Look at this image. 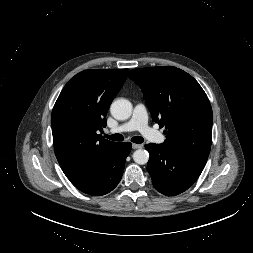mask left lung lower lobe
I'll use <instances>...</instances> for the list:
<instances>
[{
  "instance_id": "0a47b994",
  "label": "left lung lower lobe",
  "mask_w": 253,
  "mask_h": 253,
  "mask_svg": "<svg viewBox=\"0 0 253 253\" xmlns=\"http://www.w3.org/2000/svg\"><path fill=\"white\" fill-rule=\"evenodd\" d=\"M150 154L147 170L157 191L178 195L191 187L204 169L203 165L169 152L161 144H146Z\"/></svg>"
}]
</instances>
